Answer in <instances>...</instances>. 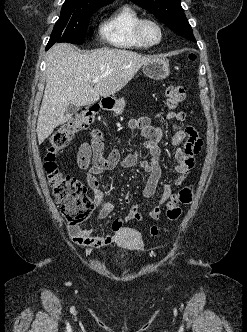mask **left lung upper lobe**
I'll return each instance as SVG.
<instances>
[{
  "mask_svg": "<svg viewBox=\"0 0 247 332\" xmlns=\"http://www.w3.org/2000/svg\"><path fill=\"white\" fill-rule=\"evenodd\" d=\"M148 10L169 29L181 37L196 42L180 0H131Z\"/></svg>",
  "mask_w": 247,
  "mask_h": 332,
  "instance_id": "5c2ea615",
  "label": "left lung upper lobe"
}]
</instances>
